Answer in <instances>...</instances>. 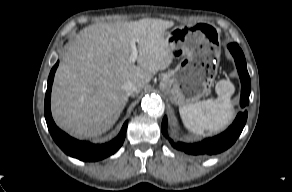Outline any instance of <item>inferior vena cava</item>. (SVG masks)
I'll return each mask as SVG.
<instances>
[{
	"mask_svg": "<svg viewBox=\"0 0 292 192\" xmlns=\"http://www.w3.org/2000/svg\"><path fill=\"white\" fill-rule=\"evenodd\" d=\"M122 89L125 95L130 96L136 91V86L131 81H126L123 83Z\"/></svg>",
	"mask_w": 292,
	"mask_h": 192,
	"instance_id": "602c4592",
	"label": "inferior vena cava"
}]
</instances>
